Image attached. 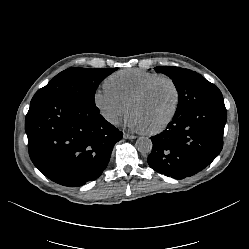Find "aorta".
<instances>
[{
  "label": "aorta",
  "instance_id": "762f6f07",
  "mask_svg": "<svg viewBox=\"0 0 249 249\" xmlns=\"http://www.w3.org/2000/svg\"><path fill=\"white\" fill-rule=\"evenodd\" d=\"M152 141L149 137H139L136 141V148L140 153L148 154L152 150Z\"/></svg>",
  "mask_w": 249,
  "mask_h": 249
}]
</instances>
